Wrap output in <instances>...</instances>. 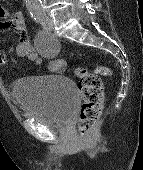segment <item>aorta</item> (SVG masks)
<instances>
[{
	"label": "aorta",
	"mask_w": 143,
	"mask_h": 170,
	"mask_svg": "<svg viewBox=\"0 0 143 170\" xmlns=\"http://www.w3.org/2000/svg\"><path fill=\"white\" fill-rule=\"evenodd\" d=\"M25 3L32 17L39 18L44 16L42 0H25Z\"/></svg>",
	"instance_id": "762f6f07"
}]
</instances>
